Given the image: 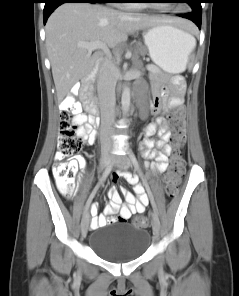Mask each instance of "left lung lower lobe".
Returning <instances> with one entry per match:
<instances>
[{
    "mask_svg": "<svg viewBox=\"0 0 239 296\" xmlns=\"http://www.w3.org/2000/svg\"><path fill=\"white\" fill-rule=\"evenodd\" d=\"M178 16L187 18L191 21H193L199 28H201V19H202V14H197L194 11H190L185 14H178Z\"/></svg>",
    "mask_w": 239,
    "mask_h": 296,
    "instance_id": "left-lung-lower-lobe-1",
    "label": "left lung lower lobe"
}]
</instances>
